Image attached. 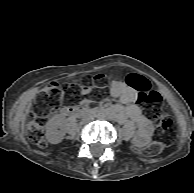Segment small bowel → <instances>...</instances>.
Returning a JSON list of instances; mask_svg holds the SVG:
<instances>
[{
	"instance_id": "c3829d8e",
	"label": "small bowel",
	"mask_w": 194,
	"mask_h": 193,
	"mask_svg": "<svg viewBox=\"0 0 194 193\" xmlns=\"http://www.w3.org/2000/svg\"><path fill=\"white\" fill-rule=\"evenodd\" d=\"M109 90L110 94L118 98L122 104L115 107L118 120L120 122H134L138 127L136 143L138 145H145L152 134L153 127L141 108L136 104L138 97L136 88L126 82L113 80Z\"/></svg>"
}]
</instances>
